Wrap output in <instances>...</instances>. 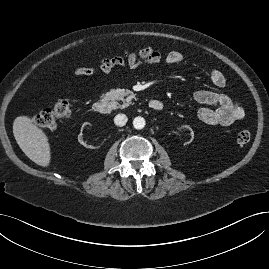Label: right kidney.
Masks as SVG:
<instances>
[{
    "label": "right kidney",
    "mask_w": 269,
    "mask_h": 269,
    "mask_svg": "<svg viewBox=\"0 0 269 269\" xmlns=\"http://www.w3.org/2000/svg\"><path fill=\"white\" fill-rule=\"evenodd\" d=\"M87 125H90V123H88V122H85V123H83L82 124V127H81V131L83 130V128L85 127V126H87ZM82 132L79 134V136H78V141L82 144V145H84L85 147H87V148H89L90 150H93L94 148L95 149H97V148H102V143H97V142H93V141H90V142H88L87 140L84 142V140H83V137H82Z\"/></svg>",
    "instance_id": "right-kidney-1"
}]
</instances>
